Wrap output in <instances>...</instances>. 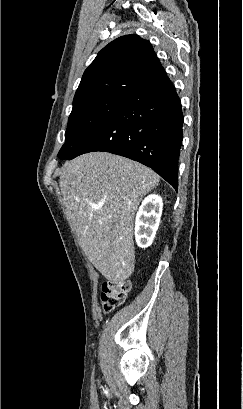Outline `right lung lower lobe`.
<instances>
[{
	"instance_id": "right-lung-lower-lobe-1",
	"label": "right lung lower lobe",
	"mask_w": 243,
	"mask_h": 409,
	"mask_svg": "<svg viewBox=\"0 0 243 409\" xmlns=\"http://www.w3.org/2000/svg\"><path fill=\"white\" fill-rule=\"evenodd\" d=\"M183 114L167 76L127 97L113 116L66 158L105 151L138 161L178 189Z\"/></svg>"
}]
</instances>
